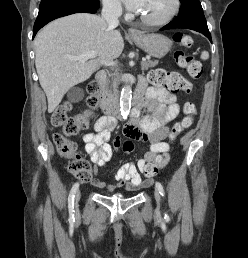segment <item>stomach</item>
<instances>
[{"instance_id":"0dacf381","label":"stomach","mask_w":248,"mask_h":258,"mask_svg":"<svg viewBox=\"0 0 248 258\" xmlns=\"http://www.w3.org/2000/svg\"><path fill=\"white\" fill-rule=\"evenodd\" d=\"M130 39L146 53L156 58L164 57L172 47V41L160 34L140 33Z\"/></svg>"}]
</instances>
